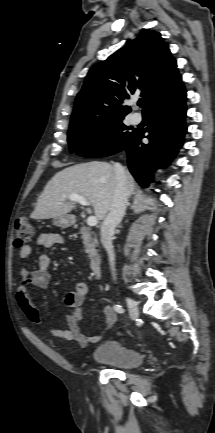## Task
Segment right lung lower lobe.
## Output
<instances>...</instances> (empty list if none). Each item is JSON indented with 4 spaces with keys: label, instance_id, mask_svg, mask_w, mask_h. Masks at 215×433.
I'll use <instances>...</instances> for the list:
<instances>
[{
    "label": "right lung lower lobe",
    "instance_id": "1",
    "mask_svg": "<svg viewBox=\"0 0 215 433\" xmlns=\"http://www.w3.org/2000/svg\"><path fill=\"white\" fill-rule=\"evenodd\" d=\"M185 101L186 91L181 83L150 103L147 108L151 117L149 127L133 130L120 150L126 151L129 170L143 188L149 186L154 171L167 166L182 147L187 132ZM145 132L149 135L144 136ZM144 137L149 139L148 144L141 142Z\"/></svg>",
    "mask_w": 215,
    "mask_h": 433
}]
</instances>
